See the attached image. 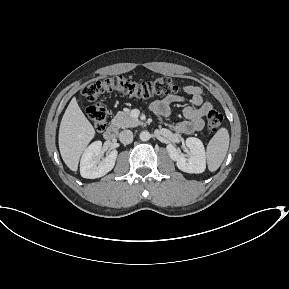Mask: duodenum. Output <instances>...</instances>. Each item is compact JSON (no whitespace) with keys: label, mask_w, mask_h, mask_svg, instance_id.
<instances>
[{"label":"duodenum","mask_w":289,"mask_h":289,"mask_svg":"<svg viewBox=\"0 0 289 289\" xmlns=\"http://www.w3.org/2000/svg\"><path fill=\"white\" fill-rule=\"evenodd\" d=\"M117 137V128L114 125H110L104 132V138L107 141H114Z\"/></svg>","instance_id":"obj_1"}]
</instances>
